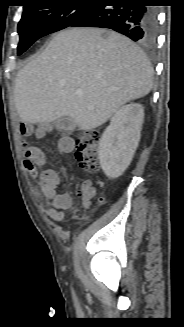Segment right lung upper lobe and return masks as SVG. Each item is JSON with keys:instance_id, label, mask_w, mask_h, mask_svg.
<instances>
[{"instance_id": "1", "label": "right lung upper lobe", "mask_w": 184, "mask_h": 327, "mask_svg": "<svg viewBox=\"0 0 184 327\" xmlns=\"http://www.w3.org/2000/svg\"><path fill=\"white\" fill-rule=\"evenodd\" d=\"M45 0H25L26 3H29L28 5H25L23 8H26L32 4L38 3V2H43Z\"/></svg>"}]
</instances>
